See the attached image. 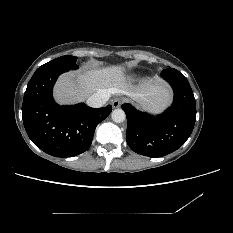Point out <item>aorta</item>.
I'll use <instances>...</instances> for the list:
<instances>
[{"label": "aorta", "instance_id": "aorta-1", "mask_svg": "<svg viewBox=\"0 0 233 233\" xmlns=\"http://www.w3.org/2000/svg\"><path fill=\"white\" fill-rule=\"evenodd\" d=\"M112 120L116 123H121L125 120L126 115L122 109H115L111 113Z\"/></svg>", "mask_w": 233, "mask_h": 233}]
</instances>
